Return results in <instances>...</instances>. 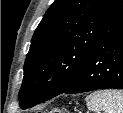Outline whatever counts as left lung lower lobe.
<instances>
[{
	"mask_svg": "<svg viewBox=\"0 0 123 113\" xmlns=\"http://www.w3.org/2000/svg\"><path fill=\"white\" fill-rule=\"evenodd\" d=\"M123 89V3L120 1L102 25L90 54L66 94L96 89Z\"/></svg>",
	"mask_w": 123,
	"mask_h": 113,
	"instance_id": "obj_1",
	"label": "left lung lower lobe"
}]
</instances>
